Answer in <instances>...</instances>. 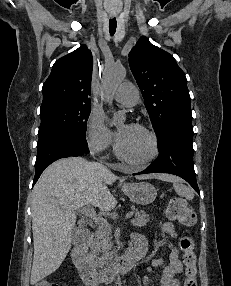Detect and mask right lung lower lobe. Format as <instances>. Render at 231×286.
<instances>
[{
    "label": "right lung lower lobe",
    "instance_id": "1",
    "mask_svg": "<svg viewBox=\"0 0 231 286\" xmlns=\"http://www.w3.org/2000/svg\"><path fill=\"white\" fill-rule=\"evenodd\" d=\"M37 150L33 184L37 182L43 170L57 159L89 153L85 139L70 135L51 138L38 144Z\"/></svg>",
    "mask_w": 231,
    "mask_h": 286
}]
</instances>
